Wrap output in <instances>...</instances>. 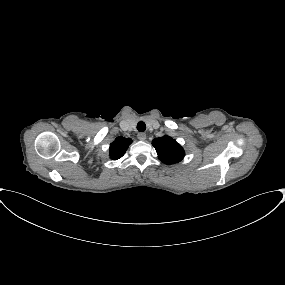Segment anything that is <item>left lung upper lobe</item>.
Instances as JSON below:
<instances>
[{
	"label": "left lung upper lobe",
	"instance_id": "left-lung-upper-lobe-1",
	"mask_svg": "<svg viewBox=\"0 0 285 285\" xmlns=\"http://www.w3.org/2000/svg\"><path fill=\"white\" fill-rule=\"evenodd\" d=\"M152 145L156 149L158 158L165 164L178 163L185 156L183 148L167 135L155 138Z\"/></svg>",
	"mask_w": 285,
	"mask_h": 285
}]
</instances>
